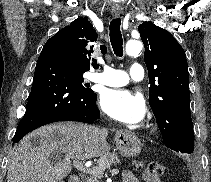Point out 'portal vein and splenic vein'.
<instances>
[{
	"instance_id": "portal-vein-and-splenic-vein-1",
	"label": "portal vein and splenic vein",
	"mask_w": 211,
	"mask_h": 182,
	"mask_svg": "<svg viewBox=\"0 0 211 182\" xmlns=\"http://www.w3.org/2000/svg\"><path fill=\"white\" fill-rule=\"evenodd\" d=\"M73 164L81 172H84V173H92V172H94L93 169H90V168L87 167V164H83L79 160H74ZM111 173L117 174V173H119V170L118 169H112Z\"/></svg>"
}]
</instances>
